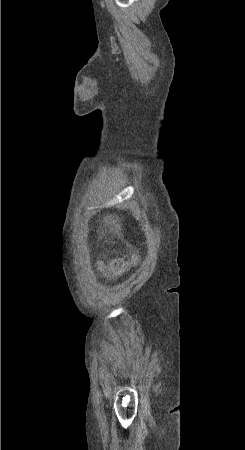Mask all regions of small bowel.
<instances>
[{"instance_id":"c3829d8e","label":"small bowel","mask_w":245,"mask_h":450,"mask_svg":"<svg viewBox=\"0 0 245 450\" xmlns=\"http://www.w3.org/2000/svg\"><path fill=\"white\" fill-rule=\"evenodd\" d=\"M109 268H110V270L114 271V270L112 269V267H111V264H110Z\"/></svg>"}]
</instances>
